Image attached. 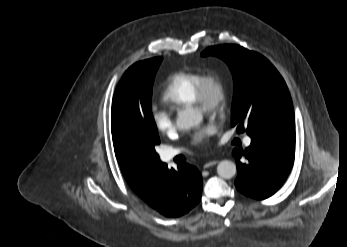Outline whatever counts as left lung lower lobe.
Returning a JSON list of instances; mask_svg holds the SVG:
<instances>
[{"instance_id":"obj_1","label":"left lung lower lobe","mask_w":347,"mask_h":247,"mask_svg":"<svg viewBox=\"0 0 347 247\" xmlns=\"http://www.w3.org/2000/svg\"><path fill=\"white\" fill-rule=\"evenodd\" d=\"M295 153V137L269 134L251 138L244 151L234 149L237 163L236 188L246 196L266 199L289 175Z\"/></svg>"}]
</instances>
